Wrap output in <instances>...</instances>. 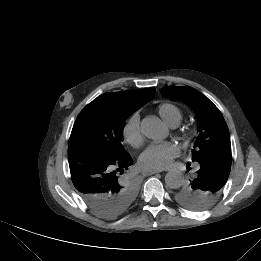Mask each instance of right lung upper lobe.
Segmentation results:
<instances>
[{"instance_id": "cb5924a9", "label": "right lung upper lobe", "mask_w": 261, "mask_h": 261, "mask_svg": "<svg viewBox=\"0 0 261 261\" xmlns=\"http://www.w3.org/2000/svg\"><path fill=\"white\" fill-rule=\"evenodd\" d=\"M154 93V88H147L123 92H109L102 94L97 98L117 108L124 115L129 116L147 103Z\"/></svg>"}]
</instances>
